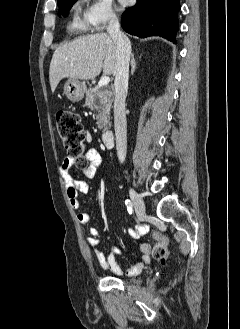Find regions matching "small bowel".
Returning <instances> with one entry per match:
<instances>
[{
    "instance_id": "obj_1",
    "label": "small bowel",
    "mask_w": 240,
    "mask_h": 329,
    "mask_svg": "<svg viewBox=\"0 0 240 329\" xmlns=\"http://www.w3.org/2000/svg\"><path fill=\"white\" fill-rule=\"evenodd\" d=\"M88 141L90 140V135L87 136ZM87 164L81 168V172L83 176L86 178H94L98 170L101 166V156L97 152V150L90 148L85 153ZM72 158H65L59 166L60 175L65 184V191L68 198V201L72 208L79 209L81 207V202L79 200L80 193H87L89 191V185L83 181L74 179L70 174V168L73 164ZM78 221L86 225L90 223L91 216L87 212H81L77 215ZM145 231V226L139 225L129 230V235L133 239L139 238ZM99 229L96 227H91L89 229V238L87 243L89 247H91L96 254L98 262L100 265L106 269L111 271L115 275H122V269L120 265L116 261V256L122 253V247L114 246L110 248L107 252H104L101 249L100 241L98 239L99 236ZM140 251V259L138 262L131 265L128 270L127 274L129 276H136L141 273L144 266L151 264L150 258V246L146 243H142L139 245Z\"/></svg>"
}]
</instances>
